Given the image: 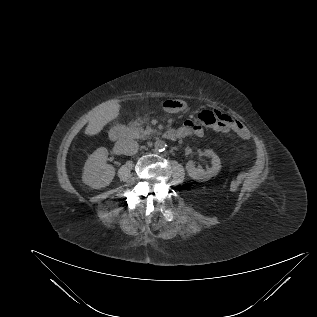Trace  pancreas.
Returning a JSON list of instances; mask_svg holds the SVG:
<instances>
[{
    "label": "pancreas",
    "mask_w": 317,
    "mask_h": 317,
    "mask_svg": "<svg viewBox=\"0 0 317 317\" xmlns=\"http://www.w3.org/2000/svg\"><path fill=\"white\" fill-rule=\"evenodd\" d=\"M125 131L132 137L141 138L146 135H150L153 132V129L150 126H147V128L144 129L141 126V121L136 120L133 123H131L129 127L125 128Z\"/></svg>",
    "instance_id": "1"
}]
</instances>
